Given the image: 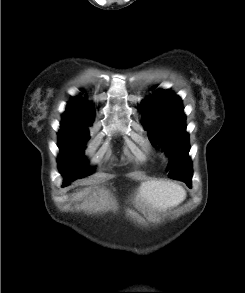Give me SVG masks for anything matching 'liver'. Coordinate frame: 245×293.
Segmentation results:
<instances>
[{
    "instance_id": "obj_1",
    "label": "liver",
    "mask_w": 245,
    "mask_h": 293,
    "mask_svg": "<svg viewBox=\"0 0 245 293\" xmlns=\"http://www.w3.org/2000/svg\"><path fill=\"white\" fill-rule=\"evenodd\" d=\"M139 196L153 208L165 210L180 204L186 198V192L173 182L147 181L141 184Z\"/></svg>"
}]
</instances>
